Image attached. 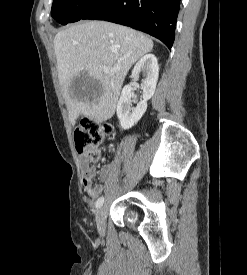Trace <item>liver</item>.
Wrapping results in <instances>:
<instances>
[{
  "instance_id": "liver-1",
  "label": "liver",
  "mask_w": 247,
  "mask_h": 275,
  "mask_svg": "<svg viewBox=\"0 0 247 275\" xmlns=\"http://www.w3.org/2000/svg\"><path fill=\"white\" fill-rule=\"evenodd\" d=\"M153 45L146 35L106 21H86L58 32L54 50L70 123L74 125L81 114L96 122L110 119L129 69ZM104 66L114 71L104 72ZM81 72L99 81L98 95L71 90L72 80Z\"/></svg>"
}]
</instances>
